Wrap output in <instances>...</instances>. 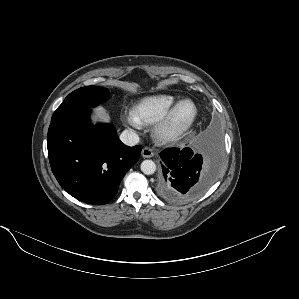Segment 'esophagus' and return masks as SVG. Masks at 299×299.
I'll use <instances>...</instances> for the list:
<instances>
[{
	"label": "esophagus",
	"mask_w": 299,
	"mask_h": 299,
	"mask_svg": "<svg viewBox=\"0 0 299 299\" xmlns=\"http://www.w3.org/2000/svg\"><path fill=\"white\" fill-rule=\"evenodd\" d=\"M141 155L143 158H151L154 156V152L152 149L145 147L142 149Z\"/></svg>",
	"instance_id": "esophagus-1"
}]
</instances>
